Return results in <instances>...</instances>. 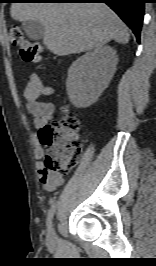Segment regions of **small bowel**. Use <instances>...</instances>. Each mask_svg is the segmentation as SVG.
<instances>
[{"label":"small bowel","instance_id":"small-bowel-1","mask_svg":"<svg viewBox=\"0 0 156 266\" xmlns=\"http://www.w3.org/2000/svg\"><path fill=\"white\" fill-rule=\"evenodd\" d=\"M51 90L43 85L37 75H32L25 90L27 98V111L33 117L34 127L41 130L55 117V106L50 102L39 101L41 95H47ZM32 143L35 147V157L40 160L44 155V150L40 145L38 135L32 134ZM38 177L46 191H53L63 183L61 175L52 174L46 171L41 161L36 163Z\"/></svg>","mask_w":156,"mask_h":266}]
</instances>
